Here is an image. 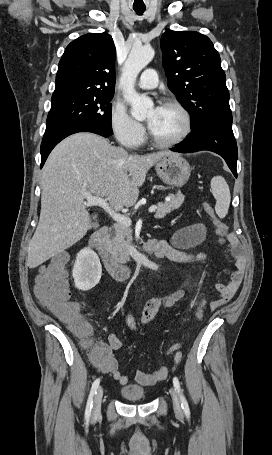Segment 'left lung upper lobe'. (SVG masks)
I'll return each instance as SVG.
<instances>
[{"label": "left lung upper lobe", "instance_id": "obj_1", "mask_svg": "<svg viewBox=\"0 0 272 455\" xmlns=\"http://www.w3.org/2000/svg\"><path fill=\"white\" fill-rule=\"evenodd\" d=\"M168 87L191 116V128L231 115L226 76L211 40L196 31H167L161 37Z\"/></svg>", "mask_w": 272, "mask_h": 455}]
</instances>
